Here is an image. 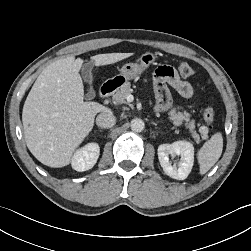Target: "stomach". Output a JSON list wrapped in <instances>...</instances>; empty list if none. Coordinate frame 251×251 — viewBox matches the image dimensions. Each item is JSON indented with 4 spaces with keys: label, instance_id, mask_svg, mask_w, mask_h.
Instances as JSON below:
<instances>
[{
    "label": "stomach",
    "instance_id": "obj_1",
    "mask_svg": "<svg viewBox=\"0 0 251 251\" xmlns=\"http://www.w3.org/2000/svg\"><path fill=\"white\" fill-rule=\"evenodd\" d=\"M156 59V55L152 52H146L142 54L139 58V63H127L122 66L119 75L115 76L113 79L119 85L138 77L143 71L152 64Z\"/></svg>",
    "mask_w": 251,
    "mask_h": 251
}]
</instances>
